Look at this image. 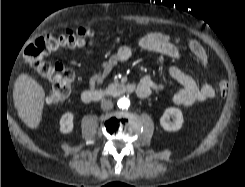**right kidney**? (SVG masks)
Wrapping results in <instances>:
<instances>
[{"mask_svg":"<svg viewBox=\"0 0 245 187\" xmlns=\"http://www.w3.org/2000/svg\"><path fill=\"white\" fill-rule=\"evenodd\" d=\"M74 114L71 112H66L65 114L62 115L60 119V132L62 134H68L72 132L74 124Z\"/></svg>","mask_w":245,"mask_h":187,"instance_id":"obj_1","label":"right kidney"}]
</instances>
